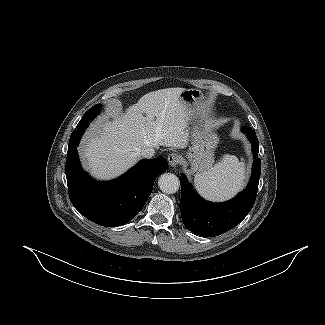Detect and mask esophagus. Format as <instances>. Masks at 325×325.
I'll use <instances>...</instances> for the list:
<instances>
[{"label": "esophagus", "instance_id": "1", "mask_svg": "<svg viewBox=\"0 0 325 325\" xmlns=\"http://www.w3.org/2000/svg\"><path fill=\"white\" fill-rule=\"evenodd\" d=\"M181 162V156L177 153H172L168 156V163L171 167H176Z\"/></svg>", "mask_w": 325, "mask_h": 325}]
</instances>
